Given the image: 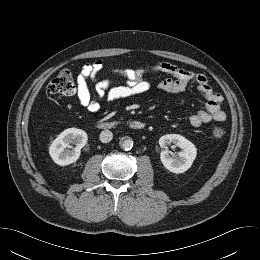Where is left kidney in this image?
Returning <instances> with one entry per match:
<instances>
[{
    "mask_svg": "<svg viewBox=\"0 0 260 260\" xmlns=\"http://www.w3.org/2000/svg\"><path fill=\"white\" fill-rule=\"evenodd\" d=\"M171 143L181 148V151L175 157L168 154L167 150H165L167 145ZM159 144L164 149L160 154L161 162L170 172L178 174L187 171L196 158L197 149L195 145L181 135H164L159 139Z\"/></svg>",
    "mask_w": 260,
    "mask_h": 260,
    "instance_id": "5707ae66",
    "label": "left kidney"
}]
</instances>
